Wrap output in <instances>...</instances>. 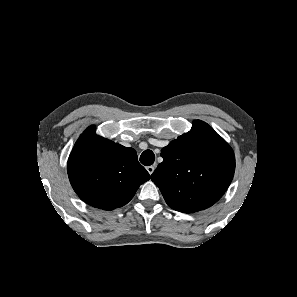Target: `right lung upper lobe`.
Masks as SVG:
<instances>
[{"instance_id":"obj_1","label":"right lung upper lobe","mask_w":297,"mask_h":297,"mask_svg":"<svg viewBox=\"0 0 297 297\" xmlns=\"http://www.w3.org/2000/svg\"><path fill=\"white\" fill-rule=\"evenodd\" d=\"M67 171L77 195L103 210L124 206L150 179L133 148L96 136L94 126L88 127L75 143Z\"/></svg>"}]
</instances>
